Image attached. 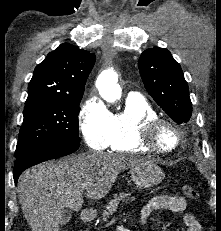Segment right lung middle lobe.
<instances>
[{
	"label": "right lung middle lobe",
	"instance_id": "1",
	"mask_svg": "<svg viewBox=\"0 0 221 231\" xmlns=\"http://www.w3.org/2000/svg\"><path fill=\"white\" fill-rule=\"evenodd\" d=\"M81 99L82 97L25 103L15 158L41 146H80L78 114Z\"/></svg>",
	"mask_w": 221,
	"mask_h": 231
}]
</instances>
